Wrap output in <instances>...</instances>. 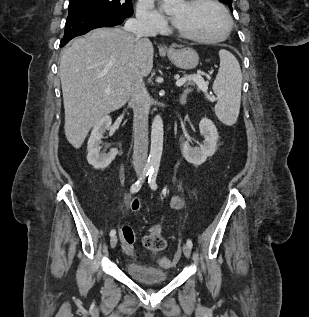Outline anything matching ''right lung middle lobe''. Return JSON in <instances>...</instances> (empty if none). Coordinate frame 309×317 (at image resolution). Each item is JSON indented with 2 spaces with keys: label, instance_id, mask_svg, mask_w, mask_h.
Instances as JSON below:
<instances>
[{
  "label": "right lung middle lobe",
  "instance_id": "obj_1",
  "mask_svg": "<svg viewBox=\"0 0 309 317\" xmlns=\"http://www.w3.org/2000/svg\"><path fill=\"white\" fill-rule=\"evenodd\" d=\"M70 11H100L130 17L133 14L131 0H70Z\"/></svg>",
  "mask_w": 309,
  "mask_h": 317
}]
</instances>
